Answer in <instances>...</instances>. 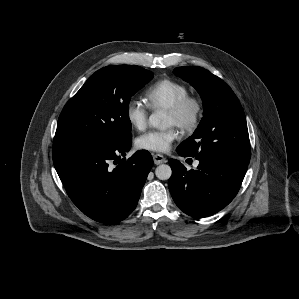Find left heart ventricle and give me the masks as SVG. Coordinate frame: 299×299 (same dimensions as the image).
<instances>
[{
    "label": "left heart ventricle",
    "instance_id": "b2bd125f",
    "mask_svg": "<svg viewBox=\"0 0 299 299\" xmlns=\"http://www.w3.org/2000/svg\"><path fill=\"white\" fill-rule=\"evenodd\" d=\"M166 121H167V124H168V125H175V119H174V117H173L171 114H169V113H167V115H166Z\"/></svg>",
    "mask_w": 299,
    "mask_h": 299
}]
</instances>
